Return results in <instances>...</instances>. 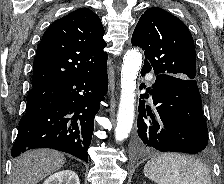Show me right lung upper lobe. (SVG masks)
Segmentation results:
<instances>
[{"mask_svg": "<svg viewBox=\"0 0 224 184\" xmlns=\"http://www.w3.org/2000/svg\"><path fill=\"white\" fill-rule=\"evenodd\" d=\"M103 35L100 18L87 8L53 22L37 48L32 87L87 75L107 65Z\"/></svg>", "mask_w": 224, "mask_h": 184, "instance_id": "obj_1", "label": "right lung upper lobe"}]
</instances>
